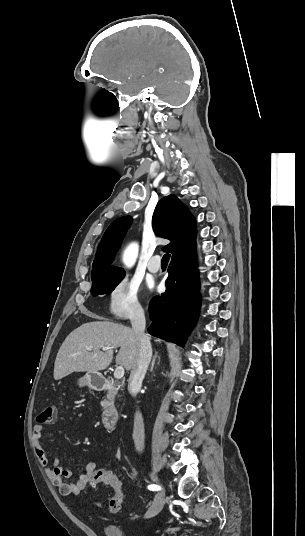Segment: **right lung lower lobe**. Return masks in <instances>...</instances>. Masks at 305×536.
I'll use <instances>...</instances> for the list:
<instances>
[{"label": "right lung lower lobe", "instance_id": "obj_1", "mask_svg": "<svg viewBox=\"0 0 305 536\" xmlns=\"http://www.w3.org/2000/svg\"><path fill=\"white\" fill-rule=\"evenodd\" d=\"M168 273L166 292L150 302L153 322L148 331L155 337L183 345L197 321L201 301L195 249L171 259Z\"/></svg>", "mask_w": 305, "mask_h": 536}]
</instances>
